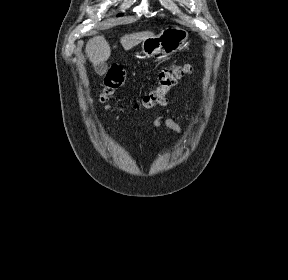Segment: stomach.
Segmentation results:
<instances>
[{
  "label": "stomach",
  "mask_w": 288,
  "mask_h": 280,
  "mask_svg": "<svg viewBox=\"0 0 288 280\" xmlns=\"http://www.w3.org/2000/svg\"><path fill=\"white\" fill-rule=\"evenodd\" d=\"M187 39L188 32L185 29L167 27L159 35L142 42V53L147 57H154L160 53L170 55L180 50Z\"/></svg>",
  "instance_id": "0dacf381"
}]
</instances>
